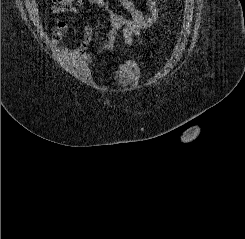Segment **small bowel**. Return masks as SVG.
<instances>
[{
	"mask_svg": "<svg viewBox=\"0 0 245 239\" xmlns=\"http://www.w3.org/2000/svg\"><path fill=\"white\" fill-rule=\"evenodd\" d=\"M120 5L128 12L129 17L122 16L111 9L110 0H60L53 2L51 11L54 14L66 12L78 13V8L85 2L99 8L106 16L110 31L108 41L104 45V51L110 50L111 40L115 35L122 31L125 44L131 45L134 40L142 41L141 36L144 30L149 29L158 18V7L154 0H147V13L144 14L132 2V0H117ZM55 30L53 44L57 45L67 30V24L62 19H55ZM93 29L91 25H87L84 31V38L81 41L77 53L86 61H91L93 55L88 53V47L92 39Z\"/></svg>",
	"mask_w": 245,
	"mask_h": 239,
	"instance_id": "small-bowel-1",
	"label": "small bowel"
}]
</instances>
